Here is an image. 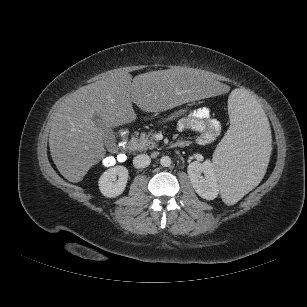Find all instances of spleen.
Masks as SVG:
<instances>
[{
  "label": "spleen",
  "mask_w": 307,
  "mask_h": 307,
  "mask_svg": "<svg viewBox=\"0 0 307 307\" xmlns=\"http://www.w3.org/2000/svg\"><path fill=\"white\" fill-rule=\"evenodd\" d=\"M228 113L231 125L215 150L213 166L223 202L234 205L261 179L271 135L262 107L247 92L232 91Z\"/></svg>",
  "instance_id": "3e777b00"
}]
</instances>
